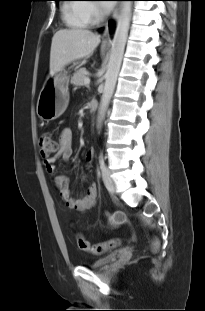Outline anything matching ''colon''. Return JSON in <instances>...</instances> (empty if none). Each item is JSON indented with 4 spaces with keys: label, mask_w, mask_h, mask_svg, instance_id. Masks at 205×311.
Listing matches in <instances>:
<instances>
[{
    "label": "colon",
    "mask_w": 205,
    "mask_h": 311,
    "mask_svg": "<svg viewBox=\"0 0 205 311\" xmlns=\"http://www.w3.org/2000/svg\"><path fill=\"white\" fill-rule=\"evenodd\" d=\"M40 153L44 159H48L53 153H55L59 148V143L56 138L50 132H45L40 137ZM77 247L85 252L101 255L110 250L115 249L119 243V239H111L106 242L91 244L87 241L82 235H77L76 237ZM160 242L158 239H154L152 243L153 251H157L159 249Z\"/></svg>",
    "instance_id": "colon-1"
}]
</instances>
